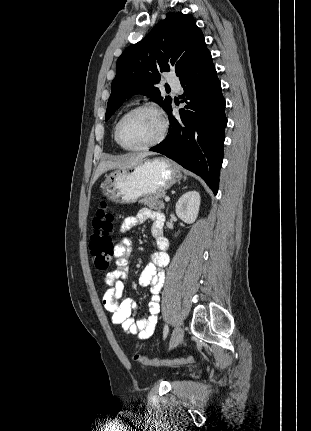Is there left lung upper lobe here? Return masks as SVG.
Instances as JSON below:
<instances>
[{
	"instance_id": "1",
	"label": "left lung upper lobe",
	"mask_w": 311,
	"mask_h": 431,
	"mask_svg": "<svg viewBox=\"0 0 311 431\" xmlns=\"http://www.w3.org/2000/svg\"><path fill=\"white\" fill-rule=\"evenodd\" d=\"M206 50L203 33L191 15L168 13L143 40L126 48L119 57L105 120L134 94L149 96L168 112L172 99L161 97L155 87L160 81L159 72L173 69L181 78Z\"/></svg>"
}]
</instances>
